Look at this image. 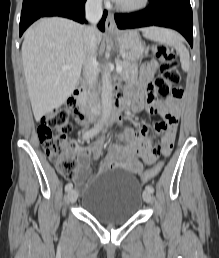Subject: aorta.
<instances>
[{"instance_id":"762f6f07","label":"aorta","mask_w":219,"mask_h":258,"mask_svg":"<svg viewBox=\"0 0 219 258\" xmlns=\"http://www.w3.org/2000/svg\"><path fill=\"white\" fill-rule=\"evenodd\" d=\"M102 117L97 127L102 129L107 123L112 111V83L111 74L106 67L102 75Z\"/></svg>"}]
</instances>
